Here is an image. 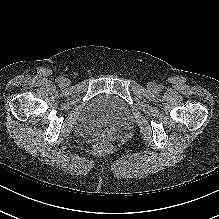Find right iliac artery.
<instances>
[{"label": "right iliac artery", "mask_w": 219, "mask_h": 219, "mask_svg": "<svg viewBox=\"0 0 219 219\" xmlns=\"http://www.w3.org/2000/svg\"><path fill=\"white\" fill-rule=\"evenodd\" d=\"M62 79H63V77H59V78L56 79V81L60 82V81H62Z\"/></svg>", "instance_id": "1"}]
</instances>
